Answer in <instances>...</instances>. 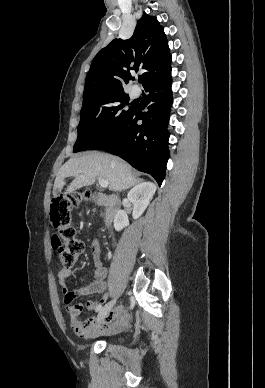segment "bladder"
Returning <instances> with one entry per match:
<instances>
[{
	"label": "bladder",
	"instance_id": "bladder-1",
	"mask_svg": "<svg viewBox=\"0 0 265 388\" xmlns=\"http://www.w3.org/2000/svg\"><path fill=\"white\" fill-rule=\"evenodd\" d=\"M111 340L113 341V344H118V341H120L121 338H120V337H118V338H112Z\"/></svg>",
	"mask_w": 265,
	"mask_h": 388
}]
</instances>
